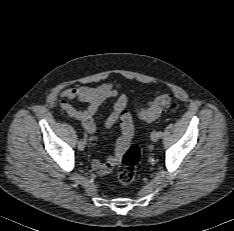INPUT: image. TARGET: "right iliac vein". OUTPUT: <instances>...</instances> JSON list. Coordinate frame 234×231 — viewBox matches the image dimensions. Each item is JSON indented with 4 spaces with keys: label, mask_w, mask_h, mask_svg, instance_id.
<instances>
[{
    "label": "right iliac vein",
    "mask_w": 234,
    "mask_h": 231,
    "mask_svg": "<svg viewBox=\"0 0 234 231\" xmlns=\"http://www.w3.org/2000/svg\"><path fill=\"white\" fill-rule=\"evenodd\" d=\"M84 148H85V142L82 141V140H79V141H78V149H79L80 151H83Z\"/></svg>",
    "instance_id": "obj_1"
}]
</instances>
